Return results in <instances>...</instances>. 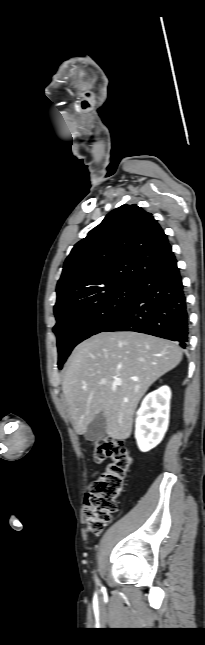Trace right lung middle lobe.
Segmentation results:
<instances>
[{"label": "right lung middle lobe", "instance_id": "dd1d6c3e", "mask_svg": "<svg viewBox=\"0 0 205 645\" xmlns=\"http://www.w3.org/2000/svg\"><path fill=\"white\" fill-rule=\"evenodd\" d=\"M136 284L121 285L84 297L55 314L61 369L72 349L81 341L100 333L134 301Z\"/></svg>", "mask_w": 205, "mask_h": 645}]
</instances>
